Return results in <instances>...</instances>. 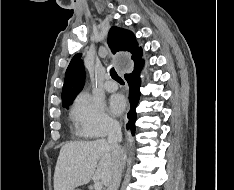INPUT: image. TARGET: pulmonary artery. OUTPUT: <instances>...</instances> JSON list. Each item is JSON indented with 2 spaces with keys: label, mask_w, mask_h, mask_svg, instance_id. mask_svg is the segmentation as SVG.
I'll list each match as a JSON object with an SVG mask.
<instances>
[{
  "label": "pulmonary artery",
  "mask_w": 234,
  "mask_h": 190,
  "mask_svg": "<svg viewBox=\"0 0 234 190\" xmlns=\"http://www.w3.org/2000/svg\"><path fill=\"white\" fill-rule=\"evenodd\" d=\"M117 88H118L117 83L114 82V81H112V80L110 79V76L107 75V76H106V82H105V89H106L107 91L113 92V91H116Z\"/></svg>",
  "instance_id": "pulmonary-artery-1"
}]
</instances>
